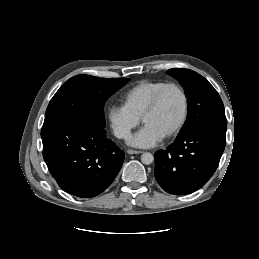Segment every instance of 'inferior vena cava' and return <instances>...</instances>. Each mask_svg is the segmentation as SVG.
<instances>
[{
  "label": "inferior vena cava",
  "instance_id": "inferior-vena-cava-1",
  "mask_svg": "<svg viewBox=\"0 0 259 259\" xmlns=\"http://www.w3.org/2000/svg\"><path fill=\"white\" fill-rule=\"evenodd\" d=\"M116 136L118 138H127L129 136V133L127 131H118L116 132Z\"/></svg>",
  "mask_w": 259,
  "mask_h": 259
}]
</instances>
